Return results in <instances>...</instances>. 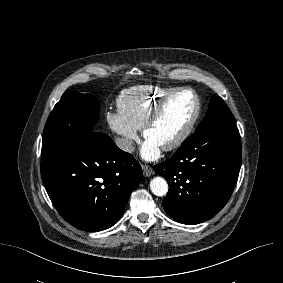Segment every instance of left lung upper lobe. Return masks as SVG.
Returning <instances> with one entry per match:
<instances>
[{"mask_svg": "<svg viewBox=\"0 0 283 283\" xmlns=\"http://www.w3.org/2000/svg\"><path fill=\"white\" fill-rule=\"evenodd\" d=\"M235 124L236 122L231 111L223 99L218 94H215L212 96L206 115L197 127L196 132L213 127Z\"/></svg>", "mask_w": 283, "mask_h": 283, "instance_id": "obj_1", "label": "left lung upper lobe"}]
</instances>
